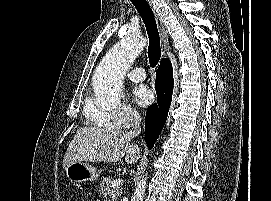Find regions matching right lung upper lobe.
I'll list each match as a JSON object with an SVG mask.
<instances>
[{
  "mask_svg": "<svg viewBox=\"0 0 271 201\" xmlns=\"http://www.w3.org/2000/svg\"><path fill=\"white\" fill-rule=\"evenodd\" d=\"M164 60H166V59L163 58V59L161 60V62H163Z\"/></svg>",
  "mask_w": 271,
  "mask_h": 201,
  "instance_id": "cb5924a9",
  "label": "right lung upper lobe"
}]
</instances>
